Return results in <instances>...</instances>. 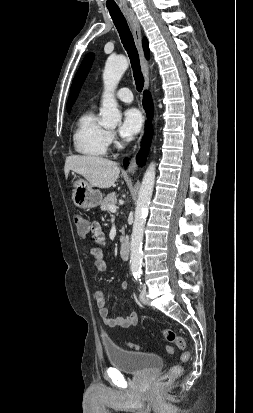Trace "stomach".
Segmentation results:
<instances>
[{
    "label": "stomach",
    "instance_id": "stomach-1",
    "mask_svg": "<svg viewBox=\"0 0 253 413\" xmlns=\"http://www.w3.org/2000/svg\"><path fill=\"white\" fill-rule=\"evenodd\" d=\"M102 198V193L99 190H94L88 181L78 179L73 183L72 200L75 206L94 208L102 202Z\"/></svg>",
    "mask_w": 253,
    "mask_h": 413
}]
</instances>
